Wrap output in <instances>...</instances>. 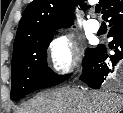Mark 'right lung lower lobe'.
Here are the masks:
<instances>
[{
    "mask_svg": "<svg viewBox=\"0 0 123 113\" xmlns=\"http://www.w3.org/2000/svg\"><path fill=\"white\" fill-rule=\"evenodd\" d=\"M103 18L111 26L108 37H113V40L109 47L115 53L108 55L103 45L92 50L80 79L94 89H99L114 67H120L123 63V0H114Z\"/></svg>",
    "mask_w": 123,
    "mask_h": 113,
    "instance_id": "obj_1",
    "label": "right lung lower lobe"
}]
</instances>
